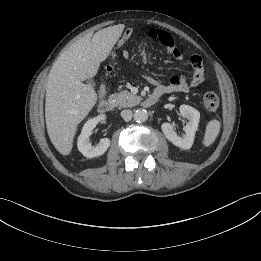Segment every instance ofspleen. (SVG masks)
<instances>
[{
	"mask_svg": "<svg viewBox=\"0 0 261 261\" xmlns=\"http://www.w3.org/2000/svg\"><path fill=\"white\" fill-rule=\"evenodd\" d=\"M221 124L218 120H211L206 125V130L203 139V145L210 146L217 138Z\"/></svg>",
	"mask_w": 261,
	"mask_h": 261,
	"instance_id": "obj_1",
	"label": "spleen"
}]
</instances>
